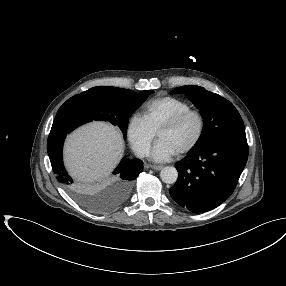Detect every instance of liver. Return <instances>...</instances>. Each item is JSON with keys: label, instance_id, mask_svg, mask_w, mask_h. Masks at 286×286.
<instances>
[{"label": "liver", "instance_id": "1", "mask_svg": "<svg viewBox=\"0 0 286 286\" xmlns=\"http://www.w3.org/2000/svg\"><path fill=\"white\" fill-rule=\"evenodd\" d=\"M123 152L121 133L110 124L93 122L68 136L64 145V162L72 177L92 182L109 175Z\"/></svg>", "mask_w": 286, "mask_h": 286}]
</instances>
